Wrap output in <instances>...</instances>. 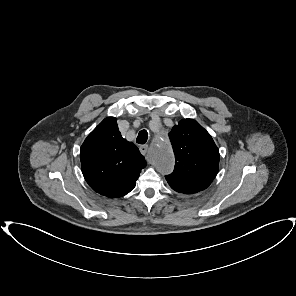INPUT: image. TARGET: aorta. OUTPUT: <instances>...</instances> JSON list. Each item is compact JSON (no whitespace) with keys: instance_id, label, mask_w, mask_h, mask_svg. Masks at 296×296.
<instances>
[{"instance_id":"1","label":"aorta","mask_w":296,"mask_h":296,"mask_svg":"<svg viewBox=\"0 0 296 296\" xmlns=\"http://www.w3.org/2000/svg\"><path fill=\"white\" fill-rule=\"evenodd\" d=\"M153 161L157 170L162 174H168L173 169L174 158L164 136L159 137L153 147Z\"/></svg>"}]
</instances>
